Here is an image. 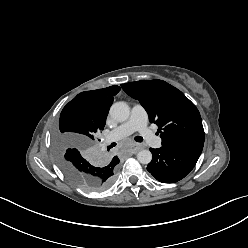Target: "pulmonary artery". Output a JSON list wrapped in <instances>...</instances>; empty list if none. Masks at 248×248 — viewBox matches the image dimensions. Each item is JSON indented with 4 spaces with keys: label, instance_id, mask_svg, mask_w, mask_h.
Wrapping results in <instances>:
<instances>
[{
    "label": "pulmonary artery",
    "instance_id": "1",
    "mask_svg": "<svg viewBox=\"0 0 248 248\" xmlns=\"http://www.w3.org/2000/svg\"><path fill=\"white\" fill-rule=\"evenodd\" d=\"M138 131L145 138L148 143L152 146L160 148L162 145V140L160 137L156 136L152 130L148 127V116L145 109L139 105L135 104L130 113L129 119L108 132L104 139L108 142L119 141L133 132Z\"/></svg>",
    "mask_w": 248,
    "mask_h": 248
}]
</instances>
